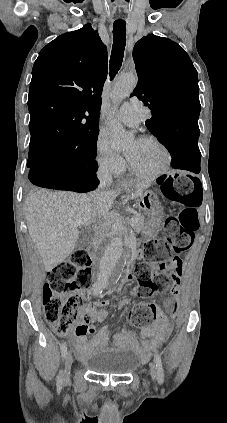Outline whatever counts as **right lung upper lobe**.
Masks as SVG:
<instances>
[{"mask_svg":"<svg viewBox=\"0 0 227 423\" xmlns=\"http://www.w3.org/2000/svg\"><path fill=\"white\" fill-rule=\"evenodd\" d=\"M107 48L90 24L60 35L32 70L29 154L75 145L98 132Z\"/></svg>","mask_w":227,"mask_h":423,"instance_id":"right-lung-upper-lobe-1","label":"right lung upper lobe"}]
</instances>
